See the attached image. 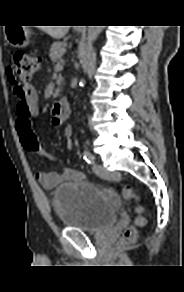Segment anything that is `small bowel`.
Masks as SVG:
<instances>
[{"label": "small bowel", "instance_id": "obj_1", "mask_svg": "<svg viewBox=\"0 0 184 292\" xmlns=\"http://www.w3.org/2000/svg\"><path fill=\"white\" fill-rule=\"evenodd\" d=\"M53 124L55 126H59L62 124V121L54 118ZM17 131L19 134L18 124ZM72 134L73 130L70 126H66L63 129V135L65 137V147L68 150H71L73 147ZM36 178L44 188L53 189L61 183L82 181L84 179V174L79 170L67 168L64 169V171L60 174L52 171H39L36 173Z\"/></svg>", "mask_w": 184, "mask_h": 292}]
</instances>
